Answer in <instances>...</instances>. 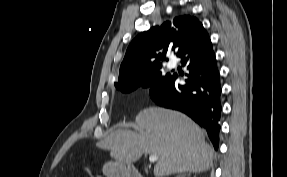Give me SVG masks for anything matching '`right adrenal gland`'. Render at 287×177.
<instances>
[{
  "instance_id": "right-adrenal-gland-1",
  "label": "right adrenal gland",
  "mask_w": 287,
  "mask_h": 177,
  "mask_svg": "<svg viewBox=\"0 0 287 177\" xmlns=\"http://www.w3.org/2000/svg\"><path fill=\"white\" fill-rule=\"evenodd\" d=\"M177 177H185V175H178Z\"/></svg>"
}]
</instances>
